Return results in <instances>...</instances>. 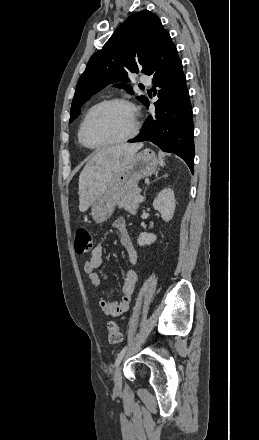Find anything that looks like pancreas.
<instances>
[{"label": "pancreas", "instance_id": "1", "mask_svg": "<svg viewBox=\"0 0 259 440\" xmlns=\"http://www.w3.org/2000/svg\"><path fill=\"white\" fill-rule=\"evenodd\" d=\"M140 192L141 189L139 188L132 189L121 198V200L118 202V207L123 208L132 215H135L140 205V202L137 201V198L140 196Z\"/></svg>", "mask_w": 259, "mask_h": 440}]
</instances>
